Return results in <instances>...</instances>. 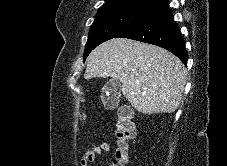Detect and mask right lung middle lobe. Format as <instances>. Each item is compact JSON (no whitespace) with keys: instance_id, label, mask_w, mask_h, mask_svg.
I'll return each instance as SVG.
<instances>
[{"instance_id":"right-lung-middle-lobe-1","label":"right lung middle lobe","mask_w":227,"mask_h":166,"mask_svg":"<svg viewBox=\"0 0 227 166\" xmlns=\"http://www.w3.org/2000/svg\"><path fill=\"white\" fill-rule=\"evenodd\" d=\"M157 9L158 7L156 6L142 4H120L99 9L95 21L90 28L83 56L84 60L91 50L99 44L116 38Z\"/></svg>"}]
</instances>
